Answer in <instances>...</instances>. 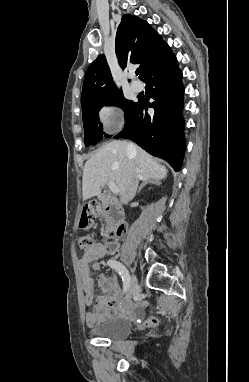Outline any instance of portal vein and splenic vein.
Instances as JSON below:
<instances>
[{
    "label": "portal vein and splenic vein",
    "mask_w": 249,
    "mask_h": 382,
    "mask_svg": "<svg viewBox=\"0 0 249 382\" xmlns=\"http://www.w3.org/2000/svg\"><path fill=\"white\" fill-rule=\"evenodd\" d=\"M109 188H110L112 193H114V194H118L119 193V188L115 185V183L110 182L109 183Z\"/></svg>",
    "instance_id": "18ae733b"
}]
</instances>
